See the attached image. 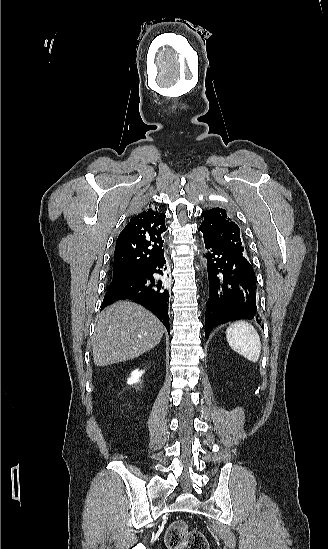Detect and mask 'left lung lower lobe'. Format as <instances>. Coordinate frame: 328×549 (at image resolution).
<instances>
[{
  "label": "left lung lower lobe",
  "instance_id": "left-lung-lower-lobe-1",
  "mask_svg": "<svg viewBox=\"0 0 328 549\" xmlns=\"http://www.w3.org/2000/svg\"><path fill=\"white\" fill-rule=\"evenodd\" d=\"M204 243L209 280L205 337L208 338L215 326L231 320L247 319L260 323L255 273L248 260L207 238H204Z\"/></svg>",
  "mask_w": 328,
  "mask_h": 549
}]
</instances>
